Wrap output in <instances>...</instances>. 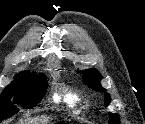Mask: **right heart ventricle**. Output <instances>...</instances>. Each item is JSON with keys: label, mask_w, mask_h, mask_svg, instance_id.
Instances as JSON below:
<instances>
[{"label": "right heart ventricle", "mask_w": 145, "mask_h": 124, "mask_svg": "<svg viewBox=\"0 0 145 124\" xmlns=\"http://www.w3.org/2000/svg\"><path fill=\"white\" fill-rule=\"evenodd\" d=\"M55 99L57 101H63L70 107L77 109V107L82 103L83 96L77 90L63 89L58 94H56Z\"/></svg>", "instance_id": "right-heart-ventricle-1"}]
</instances>
